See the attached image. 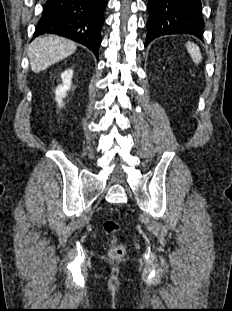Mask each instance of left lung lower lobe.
Segmentation results:
<instances>
[{"mask_svg": "<svg viewBox=\"0 0 232 311\" xmlns=\"http://www.w3.org/2000/svg\"><path fill=\"white\" fill-rule=\"evenodd\" d=\"M149 20L145 46L168 34H192L202 38L204 21L200 0H148Z\"/></svg>", "mask_w": 232, "mask_h": 311, "instance_id": "1", "label": "left lung lower lobe"}]
</instances>
